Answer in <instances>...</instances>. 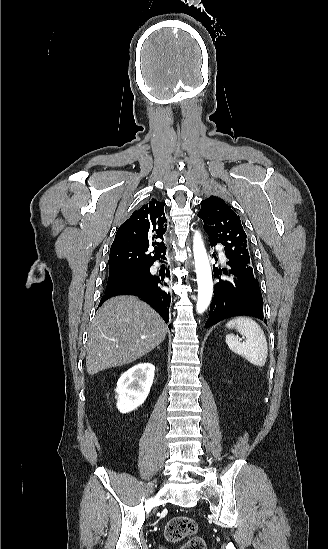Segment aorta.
<instances>
[{
    "instance_id": "obj_1",
    "label": "aorta",
    "mask_w": 328,
    "mask_h": 549,
    "mask_svg": "<svg viewBox=\"0 0 328 549\" xmlns=\"http://www.w3.org/2000/svg\"><path fill=\"white\" fill-rule=\"evenodd\" d=\"M193 254L198 284L196 310L202 314L208 308L213 295V281L209 258L199 231L193 236Z\"/></svg>"
}]
</instances>
